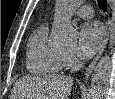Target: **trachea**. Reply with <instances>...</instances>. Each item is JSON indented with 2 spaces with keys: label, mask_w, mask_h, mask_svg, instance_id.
Listing matches in <instances>:
<instances>
[{
  "label": "trachea",
  "mask_w": 115,
  "mask_h": 99,
  "mask_svg": "<svg viewBox=\"0 0 115 99\" xmlns=\"http://www.w3.org/2000/svg\"><path fill=\"white\" fill-rule=\"evenodd\" d=\"M99 7L103 10H107V0H98Z\"/></svg>",
  "instance_id": "trachea-1"
}]
</instances>
